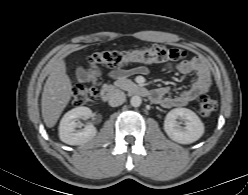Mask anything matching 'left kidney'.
I'll list each match as a JSON object with an SVG mask.
<instances>
[{"label":"left kidney","mask_w":248,"mask_h":195,"mask_svg":"<svg viewBox=\"0 0 248 195\" xmlns=\"http://www.w3.org/2000/svg\"><path fill=\"white\" fill-rule=\"evenodd\" d=\"M177 120L184 121L185 126H180ZM164 130L173 141L180 144H190L203 135L204 124L192 110L175 108L166 115Z\"/></svg>","instance_id":"5707ae66"}]
</instances>
